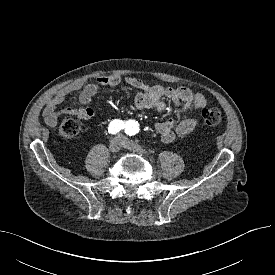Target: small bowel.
<instances>
[{"mask_svg": "<svg viewBox=\"0 0 275 275\" xmlns=\"http://www.w3.org/2000/svg\"><path fill=\"white\" fill-rule=\"evenodd\" d=\"M122 82L118 75L102 76L95 83L85 84L83 80L77 79L57 90L47 102L43 117L49 126H55L59 117L63 115H74L82 120L91 119L95 111L89 105L93 96L101 87H114ZM124 82L139 92L136 94L131 108L133 110L155 109L163 111L166 108V100L171 101L177 112L189 111L190 114L180 122L169 118L165 121L156 122L155 130L164 142L173 141L176 136L190 134L198 125V119L193 116L195 111L207 106V100L202 93H195L191 89L180 86L177 88L164 87L162 85H148L141 79L128 76ZM80 91L77 108H65L58 110V106L65 101L68 95Z\"/></svg>", "mask_w": 275, "mask_h": 275, "instance_id": "small-bowel-1", "label": "small bowel"}]
</instances>
